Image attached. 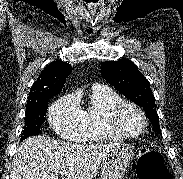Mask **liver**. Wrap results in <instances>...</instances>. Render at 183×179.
Returning a JSON list of instances; mask_svg holds the SVG:
<instances>
[{
	"label": "liver",
	"instance_id": "6515ba94",
	"mask_svg": "<svg viewBox=\"0 0 183 179\" xmlns=\"http://www.w3.org/2000/svg\"><path fill=\"white\" fill-rule=\"evenodd\" d=\"M116 143L95 145L55 141L39 135L29 137L18 146L10 179H92L108 150Z\"/></svg>",
	"mask_w": 183,
	"mask_h": 179
}]
</instances>
